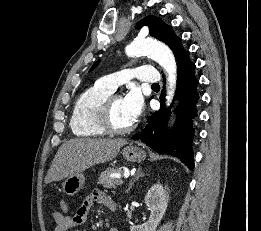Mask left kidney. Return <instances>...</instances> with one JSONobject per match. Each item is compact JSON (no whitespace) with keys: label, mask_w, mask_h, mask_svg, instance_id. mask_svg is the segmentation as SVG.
Listing matches in <instances>:
<instances>
[{"label":"left kidney","mask_w":261,"mask_h":231,"mask_svg":"<svg viewBox=\"0 0 261 231\" xmlns=\"http://www.w3.org/2000/svg\"><path fill=\"white\" fill-rule=\"evenodd\" d=\"M145 204L151 212L149 220L142 225L130 227V231H156L168 206V194L161 184H155L148 190Z\"/></svg>","instance_id":"1"}]
</instances>
